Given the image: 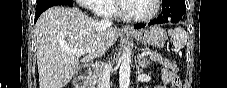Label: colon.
<instances>
[{
  "instance_id": "colon-1",
  "label": "colon",
  "mask_w": 227,
  "mask_h": 88,
  "mask_svg": "<svg viewBox=\"0 0 227 88\" xmlns=\"http://www.w3.org/2000/svg\"><path fill=\"white\" fill-rule=\"evenodd\" d=\"M173 87H174V88H180V87H181L180 82L175 81V82L173 83Z\"/></svg>"
}]
</instances>
